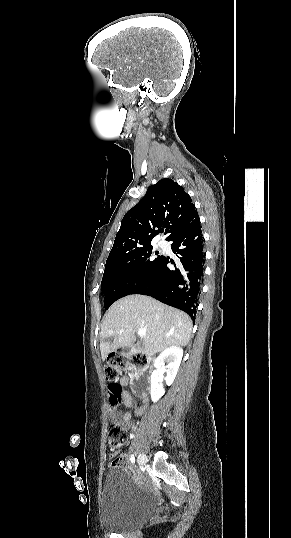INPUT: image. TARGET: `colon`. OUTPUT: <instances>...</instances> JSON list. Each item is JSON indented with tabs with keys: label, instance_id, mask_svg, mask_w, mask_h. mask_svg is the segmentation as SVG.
Returning a JSON list of instances; mask_svg holds the SVG:
<instances>
[{
	"label": "colon",
	"instance_id": "1",
	"mask_svg": "<svg viewBox=\"0 0 291 538\" xmlns=\"http://www.w3.org/2000/svg\"><path fill=\"white\" fill-rule=\"evenodd\" d=\"M147 355L143 352H135L129 357H126L120 352L111 353L106 360L105 373L109 381V403L111 406H116L120 402L121 387L117 382L123 371L131 367L134 371H143ZM125 440V433L118 424H112L108 430V445L111 450L112 457H115L119 447ZM118 465L117 458H114L111 466Z\"/></svg>",
	"mask_w": 291,
	"mask_h": 538
}]
</instances>
